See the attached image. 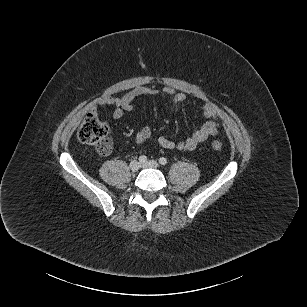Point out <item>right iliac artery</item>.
<instances>
[{"label":"right iliac artery","mask_w":307,"mask_h":307,"mask_svg":"<svg viewBox=\"0 0 307 307\" xmlns=\"http://www.w3.org/2000/svg\"><path fill=\"white\" fill-rule=\"evenodd\" d=\"M140 163H145L147 161V157L145 155H142L139 157Z\"/></svg>","instance_id":"1"}]
</instances>
